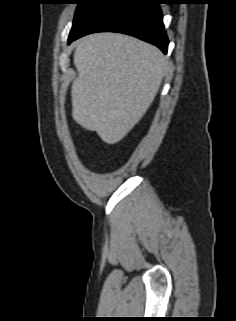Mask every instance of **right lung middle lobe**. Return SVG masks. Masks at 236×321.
I'll list each match as a JSON object with an SVG mask.
<instances>
[{
	"label": "right lung middle lobe",
	"mask_w": 236,
	"mask_h": 321,
	"mask_svg": "<svg viewBox=\"0 0 236 321\" xmlns=\"http://www.w3.org/2000/svg\"><path fill=\"white\" fill-rule=\"evenodd\" d=\"M109 0H76V9L73 26L70 31L69 39L72 38L104 4Z\"/></svg>",
	"instance_id": "dd1d6c3e"
}]
</instances>
